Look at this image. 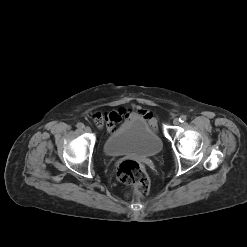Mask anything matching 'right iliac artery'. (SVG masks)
<instances>
[{
	"label": "right iliac artery",
	"instance_id": "82829eb1",
	"mask_svg": "<svg viewBox=\"0 0 247 247\" xmlns=\"http://www.w3.org/2000/svg\"><path fill=\"white\" fill-rule=\"evenodd\" d=\"M77 127L80 128V129H81V128H84V124H83V123H78V124H77Z\"/></svg>",
	"mask_w": 247,
	"mask_h": 247
}]
</instances>
